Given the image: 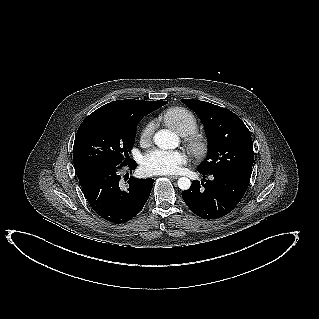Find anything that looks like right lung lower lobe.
<instances>
[{"label": "right lung lower lobe", "mask_w": 319, "mask_h": 319, "mask_svg": "<svg viewBox=\"0 0 319 319\" xmlns=\"http://www.w3.org/2000/svg\"><path fill=\"white\" fill-rule=\"evenodd\" d=\"M136 168L134 160L128 162ZM118 166L91 168L78 176L83 193L92 209L104 220L124 223L135 217L149 198L153 179L130 178L127 190L120 189Z\"/></svg>", "instance_id": "98d812e1"}]
</instances>
